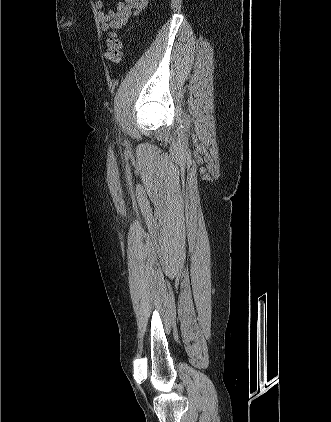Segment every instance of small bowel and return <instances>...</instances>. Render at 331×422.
Here are the masks:
<instances>
[{
  "label": "small bowel",
  "instance_id": "c3829d8e",
  "mask_svg": "<svg viewBox=\"0 0 331 422\" xmlns=\"http://www.w3.org/2000/svg\"><path fill=\"white\" fill-rule=\"evenodd\" d=\"M149 0H124L118 2L110 11L104 9V1L97 0L95 8L97 19L103 31L121 29L130 19L137 16L148 4Z\"/></svg>",
  "mask_w": 331,
  "mask_h": 422
}]
</instances>
